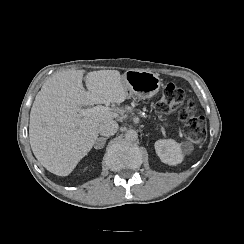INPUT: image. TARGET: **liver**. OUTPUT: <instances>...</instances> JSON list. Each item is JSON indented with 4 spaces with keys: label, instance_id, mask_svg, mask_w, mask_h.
I'll use <instances>...</instances> for the list:
<instances>
[{
    "label": "liver",
    "instance_id": "liver-1",
    "mask_svg": "<svg viewBox=\"0 0 244 244\" xmlns=\"http://www.w3.org/2000/svg\"><path fill=\"white\" fill-rule=\"evenodd\" d=\"M84 70L54 74L35 97L29 124V139L37 160L49 172L67 176L93 147L99 124L118 117L116 112L80 117L79 106L122 103L128 94L117 70ZM122 113V110L119 111Z\"/></svg>",
    "mask_w": 244,
    "mask_h": 244
}]
</instances>
